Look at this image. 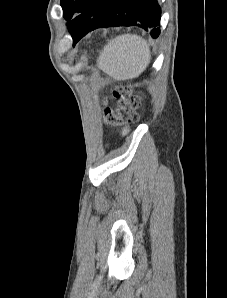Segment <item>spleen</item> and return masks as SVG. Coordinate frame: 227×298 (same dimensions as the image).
<instances>
[{"label": "spleen", "instance_id": "3e777b00", "mask_svg": "<svg viewBox=\"0 0 227 298\" xmlns=\"http://www.w3.org/2000/svg\"><path fill=\"white\" fill-rule=\"evenodd\" d=\"M150 60L147 41L135 34H124L108 41L97 59V66L110 77L124 81L138 77Z\"/></svg>", "mask_w": 227, "mask_h": 298}]
</instances>
